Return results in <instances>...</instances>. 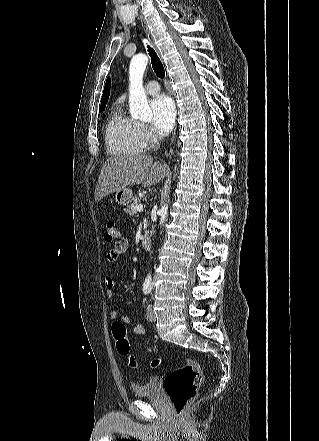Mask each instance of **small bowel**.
<instances>
[{
  "label": "small bowel",
  "instance_id": "1",
  "mask_svg": "<svg viewBox=\"0 0 319 441\" xmlns=\"http://www.w3.org/2000/svg\"><path fill=\"white\" fill-rule=\"evenodd\" d=\"M128 241L125 238H121L114 249H111L107 252V259L110 262H115L119 258V256L123 253H125L128 249ZM105 287H106V295L108 298H112L114 296V287H115V281L111 276L105 277ZM110 318L112 320H118L119 315L116 310H112L110 312ZM121 321L124 323H130L131 317L129 315H124L120 318ZM133 333L135 335H143L145 333V329L143 325L137 323L133 326L132 329Z\"/></svg>",
  "mask_w": 319,
  "mask_h": 441
}]
</instances>
